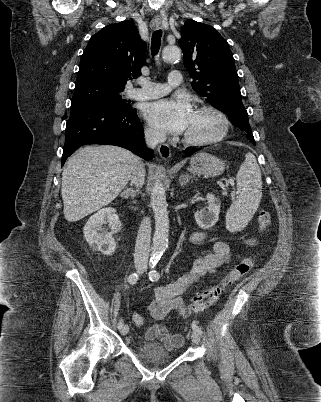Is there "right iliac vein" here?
Listing matches in <instances>:
<instances>
[{"label":"right iliac vein","mask_w":321,"mask_h":402,"mask_svg":"<svg viewBox=\"0 0 321 402\" xmlns=\"http://www.w3.org/2000/svg\"><path fill=\"white\" fill-rule=\"evenodd\" d=\"M121 334L123 335V336H125V335H127V333L129 332V327L127 326V325H124L122 328H121Z\"/></svg>","instance_id":"63e3f726"}]
</instances>
